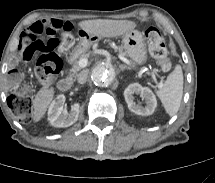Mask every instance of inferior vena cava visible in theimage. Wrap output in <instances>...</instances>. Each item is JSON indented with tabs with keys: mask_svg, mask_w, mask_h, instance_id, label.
<instances>
[{
	"mask_svg": "<svg viewBox=\"0 0 215 183\" xmlns=\"http://www.w3.org/2000/svg\"><path fill=\"white\" fill-rule=\"evenodd\" d=\"M88 77V72L87 71H82L81 73L78 74L77 81L80 84H84L87 81Z\"/></svg>",
	"mask_w": 215,
	"mask_h": 183,
	"instance_id": "602c4592",
	"label": "inferior vena cava"
}]
</instances>
